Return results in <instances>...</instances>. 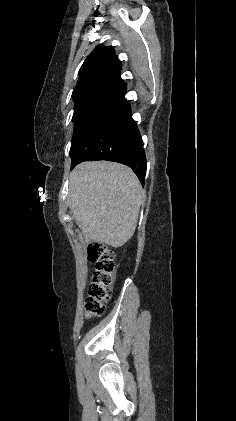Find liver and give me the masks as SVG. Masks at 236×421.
Returning <instances> with one entry per match:
<instances>
[{
  "mask_svg": "<svg viewBox=\"0 0 236 421\" xmlns=\"http://www.w3.org/2000/svg\"><path fill=\"white\" fill-rule=\"evenodd\" d=\"M142 200L139 178L119 162H80L70 172L68 204L87 243L125 245L135 233Z\"/></svg>",
  "mask_w": 236,
  "mask_h": 421,
  "instance_id": "6515ba94",
  "label": "liver"
}]
</instances>
